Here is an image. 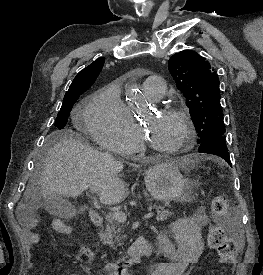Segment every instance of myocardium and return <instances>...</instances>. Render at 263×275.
<instances>
[{
    "instance_id": "1",
    "label": "myocardium",
    "mask_w": 263,
    "mask_h": 275,
    "mask_svg": "<svg viewBox=\"0 0 263 275\" xmlns=\"http://www.w3.org/2000/svg\"><path fill=\"white\" fill-rule=\"evenodd\" d=\"M159 113L164 115H170L178 118L184 124L185 136L181 142L172 148H164L154 144L148 137L144 128H142L143 139L146 145L154 152L161 155H175L183 151L189 150L193 147L196 137V130L193 120L187 112L175 107H166L158 110Z\"/></svg>"
}]
</instances>
